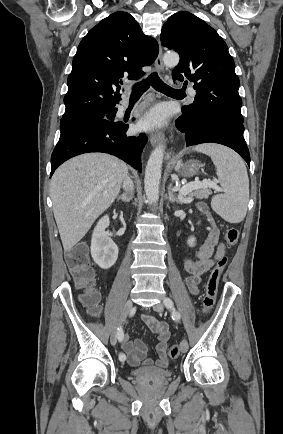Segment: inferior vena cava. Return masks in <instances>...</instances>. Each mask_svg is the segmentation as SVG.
I'll use <instances>...</instances> for the list:
<instances>
[{
    "label": "inferior vena cava",
    "instance_id": "1",
    "mask_svg": "<svg viewBox=\"0 0 283 434\" xmlns=\"http://www.w3.org/2000/svg\"><path fill=\"white\" fill-rule=\"evenodd\" d=\"M123 188L126 192L132 193V191H133V182L127 175L123 180Z\"/></svg>",
    "mask_w": 283,
    "mask_h": 434
}]
</instances>
